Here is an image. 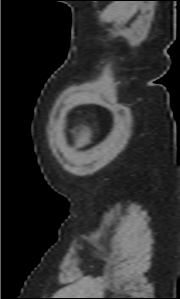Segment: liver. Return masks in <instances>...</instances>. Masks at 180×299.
I'll list each match as a JSON object with an SVG mask.
<instances>
[{
  "mask_svg": "<svg viewBox=\"0 0 180 299\" xmlns=\"http://www.w3.org/2000/svg\"><path fill=\"white\" fill-rule=\"evenodd\" d=\"M92 136L91 130L88 127H83L80 133L76 136V146L83 147L90 143V138Z\"/></svg>",
  "mask_w": 180,
  "mask_h": 299,
  "instance_id": "1",
  "label": "liver"
}]
</instances>
